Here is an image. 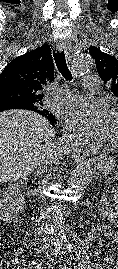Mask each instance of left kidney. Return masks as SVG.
<instances>
[{"instance_id":"obj_1","label":"left kidney","mask_w":118,"mask_h":269,"mask_svg":"<svg viewBox=\"0 0 118 269\" xmlns=\"http://www.w3.org/2000/svg\"><path fill=\"white\" fill-rule=\"evenodd\" d=\"M111 209L110 199L108 198L107 191L102 192L101 200H100V208H99V215L102 219H105Z\"/></svg>"}]
</instances>
